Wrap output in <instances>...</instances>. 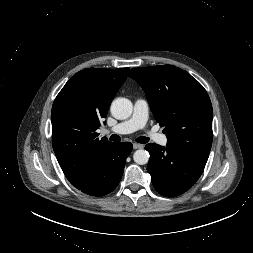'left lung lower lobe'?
<instances>
[{
	"instance_id": "left-lung-lower-lobe-1",
	"label": "left lung lower lobe",
	"mask_w": 253,
	"mask_h": 253,
	"mask_svg": "<svg viewBox=\"0 0 253 253\" xmlns=\"http://www.w3.org/2000/svg\"><path fill=\"white\" fill-rule=\"evenodd\" d=\"M145 149L150 154L147 171L152 184L165 197H176L189 190L206 165L155 143L147 144Z\"/></svg>"
}]
</instances>
